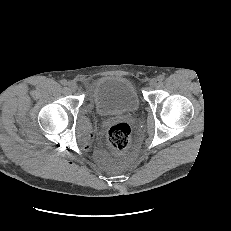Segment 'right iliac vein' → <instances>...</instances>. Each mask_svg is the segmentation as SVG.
Wrapping results in <instances>:
<instances>
[{"instance_id": "63e3f726", "label": "right iliac vein", "mask_w": 231, "mask_h": 231, "mask_svg": "<svg viewBox=\"0 0 231 231\" xmlns=\"http://www.w3.org/2000/svg\"><path fill=\"white\" fill-rule=\"evenodd\" d=\"M68 88L71 91H75L77 89V84L75 82L71 81L68 83Z\"/></svg>"}]
</instances>
